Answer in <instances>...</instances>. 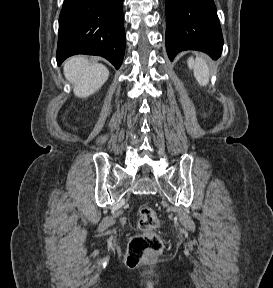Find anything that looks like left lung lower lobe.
<instances>
[{
	"instance_id": "obj_1",
	"label": "left lung lower lobe",
	"mask_w": 273,
	"mask_h": 288,
	"mask_svg": "<svg viewBox=\"0 0 273 288\" xmlns=\"http://www.w3.org/2000/svg\"><path fill=\"white\" fill-rule=\"evenodd\" d=\"M166 49L170 60L183 50H199L218 59L223 37L213 0H165Z\"/></svg>"
}]
</instances>
